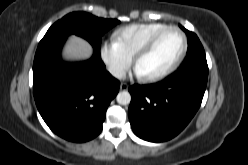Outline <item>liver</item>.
<instances>
[{"label":"liver","mask_w":248,"mask_h":165,"mask_svg":"<svg viewBox=\"0 0 248 165\" xmlns=\"http://www.w3.org/2000/svg\"><path fill=\"white\" fill-rule=\"evenodd\" d=\"M92 46L78 36H71L63 50V58L66 61H81L91 57Z\"/></svg>","instance_id":"6515ba94"}]
</instances>
